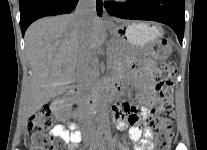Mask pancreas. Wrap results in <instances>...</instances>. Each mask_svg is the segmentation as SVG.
Wrapping results in <instances>:
<instances>
[{"mask_svg": "<svg viewBox=\"0 0 207 150\" xmlns=\"http://www.w3.org/2000/svg\"><path fill=\"white\" fill-rule=\"evenodd\" d=\"M120 55V49L119 48H112L111 52L108 53L107 58H108V62L110 64H115L116 61L118 60V58ZM96 78V72L93 71L91 77H90V81H94V79Z\"/></svg>", "mask_w": 207, "mask_h": 150, "instance_id": "pancreas-1", "label": "pancreas"}]
</instances>
